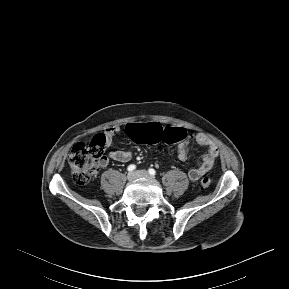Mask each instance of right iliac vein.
<instances>
[{
  "label": "right iliac vein",
  "instance_id": "63e3f726",
  "mask_svg": "<svg viewBox=\"0 0 289 289\" xmlns=\"http://www.w3.org/2000/svg\"><path fill=\"white\" fill-rule=\"evenodd\" d=\"M136 178H137V175H136L135 172H129L128 175H127V179H128L129 181H133V180H135Z\"/></svg>",
  "mask_w": 289,
  "mask_h": 289
}]
</instances>
